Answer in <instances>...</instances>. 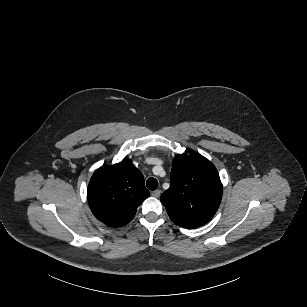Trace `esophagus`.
Returning a JSON list of instances; mask_svg holds the SVG:
<instances>
[{"label": "esophagus", "instance_id": "34e87169", "mask_svg": "<svg viewBox=\"0 0 307 307\" xmlns=\"http://www.w3.org/2000/svg\"><path fill=\"white\" fill-rule=\"evenodd\" d=\"M160 195H161V190H155V191L152 192V196L154 198H159Z\"/></svg>", "mask_w": 307, "mask_h": 307}]
</instances>
